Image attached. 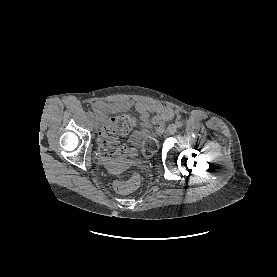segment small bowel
Returning a JSON list of instances; mask_svg holds the SVG:
<instances>
[{
	"mask_svg": "<svg viewBox=\"0 0 277 277\" xmlns=\"http://www.w3.org/2000/svg\"><path fill=\"white\" fill-rule=\"evenodd\" d=\"M112 106L105 102H97L94 104L93 109L96 112L98 119L105 123L107 121L106 112ZM135 108L141 115V117L146 120L149 116V113H155L157 116L153 119V123L158 126H162L165 122L172 119L175 116L174 111L164 105L159 104H146V103H136Z\"/></svg>",
	"mask_w": 277,
	"mask_h": 277,
	"instance_id": "obj_1",
	"label": "small bowel"
}]
</instances>
